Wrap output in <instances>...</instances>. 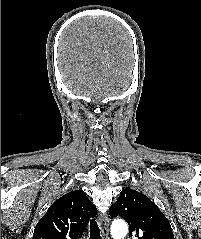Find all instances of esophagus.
I'll return each instance as SVG.
<instances>
[{"instance_id":"obj_1","label":"esophagus","mask_w":201,"mask_h":239,"mask_svg":"<svg viewBox=\"0 0 201 239\" xmlns=\"http://www.w3.org/2000/svg\"><path fill=\"white\" fill-rule=\"evenodd\" d=\"M100 225L103 235L105 236V239L108 238V232H109V219L108 216L105 215L100 219Z\"/></svg>"}]
</instances>
